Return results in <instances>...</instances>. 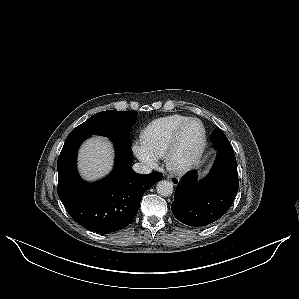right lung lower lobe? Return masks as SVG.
Instances as JSON below:
<instances>
[{"label": "right lung lower lobe", "mask_w": 299, "mask_h": 299, "mask_svg": "<svg viewBox=\"0 0 299 299\" xmlns=\"http://www.w3.org/2000/svg\"><path fill=\"white\" fill-rule=\"evenodd\" d=\"M85 134L70 133L58 157L57 193L69 215L81 226L97 233L125 228L135 217L143 194L163 178L161 173L140 175L131 169V145L111 138L116 149L112 173L96 183H86L78 175L76 155Z\"/></svg>", "instance_id": "1"}]
</instances>
